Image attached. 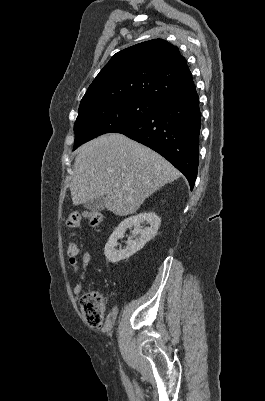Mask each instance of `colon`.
Returning <instances> with one entry per match:
<instances>
[{
  "label": "colon",
  "instance_id": "5ec220e1",
  "mask_svg": "<svg viewBox=\"0 0 265 401\" xmlns=\"http://www.w3.org/2000/svg\"><path fill=\"white\" fill-rule=\"evenodd\" d=\"M83 218H87L92 226H97L102 221V214L97 211H74L67 219L70 228L79 227ZM79 253L78 245L75 242L68 244V255L77 256ZM81 310L85 321L91 326H99L105 318L106 306L102 294L98 291H91L83 295L80 301Z\"/></svg>",
  "mask_w": 265,
  "mask_h": 401
}]
</instances>
